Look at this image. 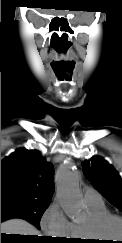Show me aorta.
<instances>
[{
	"instance_id": "obj_1",
	"label": "aorta",
	"mask_w": 122,
	"mask_h": 243,
	"mask_svg": "<svg viewBox=\"0 0 122 243\" xmlns=\"http://www.w3.org/2000/svg\"><path fill=\"white\" fill-rule=\"evenodd\" d=\"M57 198L65 214L72 220L81 216L83 204L79 192V176L72 163L60 166L56 176Z\"/></svg>"
}]
</instances>
